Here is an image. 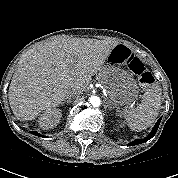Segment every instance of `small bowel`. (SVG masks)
Returning <instances> with one entry per match:
<instances>
[{"label":"small bowel","instance_id":"1","mask_svg":"<svg viewBox=\"0 0 178 178\" xmlns=\"http://www.w3.org/2000/svg\"><path fill=\"white\" fill-rule=\"evenodd\" d=\"M125 50V52H128V49L127 48H123Z\"/></svg>","mask_w":178,"mask_h":178}]
</instances>
